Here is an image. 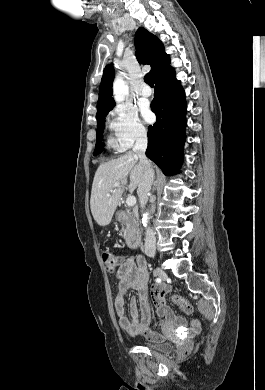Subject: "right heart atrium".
I'll use <instances>...</instances> for the list:
<instances>
[{"label": "right heart atrium", "mask_w": 265, "mask_h": 390, "mask_svg": "<svg viewBox=\"0 0 265 390\" xmlns=\"http://www.w3.org/2000/svg\"><path fill=\"white\" fill-rule=\"evenodd\" d=\"M109 127L113 133V144L120 150H127L136 142L146 139L147 130L137 111L129 106L116 105L109 114Z\"/></svg>", "instance_id": "obj_1"}]
</instances>
